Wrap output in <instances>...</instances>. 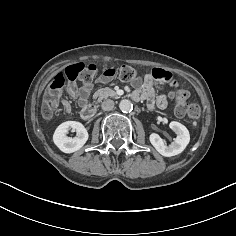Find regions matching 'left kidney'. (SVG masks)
Returning <instances> with one entry per match:
<instances>
[{"mask_svg":"<svg viewBox=\"0 0 236 236\" xmlns=\"http://www.w3.org/2000/svg\"><path fill=\"white\" fill-rule=\"evenodd\" d=\"M172 131L177 134V137L167 145L165 141L156 133L150 135V142L155 149L165 157H171L180 154L190 141L188 129L179 122L172 121L169 124Z\"/></svg>","mask_w":236,"mask_h":236,"instance_id":"5707ae66","label":"left kidney"}]
</instances>
